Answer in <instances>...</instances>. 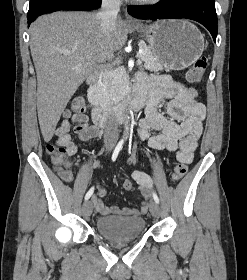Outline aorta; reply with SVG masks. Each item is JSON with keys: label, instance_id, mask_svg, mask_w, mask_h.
<instances>
[{"label": "aorta", "instance_id": "obj_1", "mask_svg": "<svg viewBox=\"0 0 247 280\" xmlns=\"http://www.w3.org/2000/svg\"><path fill=\"white\" fill-rule=\"evenodd\" d=\"M125 127H126V131L128 130V127H127V125H125Z\"/></svg>", "mask_w": 247, "mask_h": 280}]
</instances>
